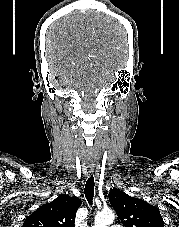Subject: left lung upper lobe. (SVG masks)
Instances as JSON below:
<instances>
[{
	"label": "left lung upper lobe",
	"mask_w": 179,
	"mask_h": 227,
	"mask_svg": "<svg viewBox=\"0 0 179 227\" xmlns=\"http://www.w3.org/2000/svg\"><path fill=\"white\" fill-rule=\"evenodd\" d=\"M108 197L125 227H164L159 209L146 201L117 189H112Z\"/></svg>",
	"instance_id": "left-lung-upper-lobe-1"
}]
</instances>
